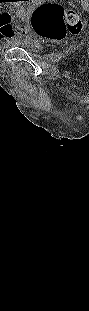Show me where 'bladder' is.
Wrapping results in <instances>:
<instances>
[{
  "mask_svg": "<svg viewBox=\"0 0 89 311\" xmlns=\"http://www.w3.org/2000/svg\"><path fill=\"white\" fill-rule=\"evenodd\" d=\"M13 45L20 48H25L31 51L41 50V44L33 38H28L22 41L14 42Z\"/></svg>",
  "mask_w": 89,
  "mask_h": 311,
  "instance_id": "bladder-1",
  "label": "bladder"
}]
</instances>
